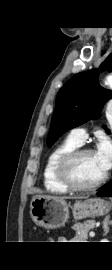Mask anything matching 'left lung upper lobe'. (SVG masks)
I'll use <instances>...</instances> for the list:
<instances>
[{
    "label": "left lung upper lobe",
    "instance_id": "1",
    "mask_svg": "<svg viewBox=\"0 0 112 270\" xmlns=\"http://www.w3.org/2000/svg\"><path fill=\"white\" fill-rule=\"evenodd\" d=\"M101 70L112 72V54L100 65V70L79 73L60 89L47 138L48 147L69 129L100 117L99 111L112 98V91L98 85Z\"/></svg>",
    "mask_w": 112,
    "mask_h": 270
}]
</instances>
